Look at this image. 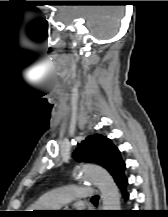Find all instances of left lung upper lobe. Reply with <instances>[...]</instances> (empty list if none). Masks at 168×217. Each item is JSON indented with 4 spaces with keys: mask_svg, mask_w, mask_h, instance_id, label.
Segmentation results:
<instances>
[{
    "mask_svg": "<svg viewBox=\"0 0 168 217\" xmlns=\"http://www.w3.org/2000/svg\"><path fill=\"white\" fill-rule=\"evenodd\" d=\"M74 158L80 162H93L106 168L117 181L124 174L123 162L118 148L110 139L100 134L88 136L74 151Z\"/></svg>",
    "mask_w": 168,
    "mask_h": 217,
    "instance_id": "5c2ea615",
    "label": "left lung upper lobe"
}]
</instances>
